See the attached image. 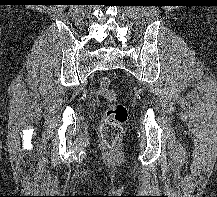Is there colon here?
Returning a JSON list of instances; mask_svg holds the SVG:
<instances>
[{"mask_svg": "<svg viewBox=\"0 0 217 197\" xmlns=\"http://www.w3.org/2000/svg\"><path fill=\"white\" fill-rule=\"evenodd\" d=\"M111 79L103 77L99 80V94L110 102H113L106 110L100 126V134L103 145L109 151L117 148L123 133V125L128 118V110L125 105L114 103L116 94L110 89Z\"/></svg>", "mask_w": 217, "mask_h": 197, "instance_id": "1", "label": "colon"}]
</instances>
